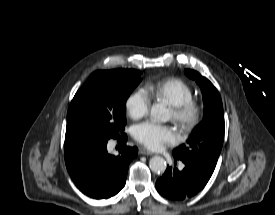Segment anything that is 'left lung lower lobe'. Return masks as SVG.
Masks as SVG:
<instances>
[{
    "label": "left lung lower lobe",
    "mask_w": 275,
    "mask_h": 215,
    "mask_svg": "<svg viewBox=\"0 0 275 215\" xmlns=\"http://www.w3.org/2000/svg\"><path fill=\"white\" fill-rule=\"evenodd\" d=\"M182 162L185 164L182 171L167 166L165 173L156 181L157 191L169 200L180 201L195 196L205 187L214 171L191 161Z\"/></svg>",
    "instance_id": "left-lung-lower-lobe-1"
}]
</instances>
